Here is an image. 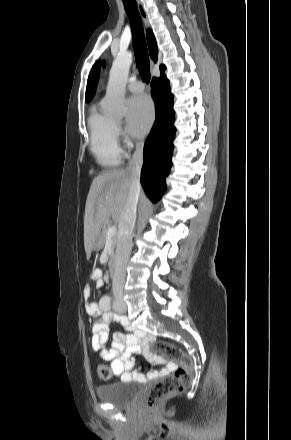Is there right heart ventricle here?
Wrapping results in <instances>:
<instances>
[{
  "label": "right heart ventricle",
  "instance_id": "1",
  "mask_svg": "<svg viewBox=\"0 0 291 440\" xmlns=\"http://www.w3.org/2000/svg\"><path fill=\"white\" fill-rule=\"evenodd\" d=\"M88 125L90 149L96 162L103 167L120 165L122 152L117 141L115 121L94 106L91 109Z\"/></svg>",
  "mask_w": 291,
  "mask_h": 440
}]
</instances>
